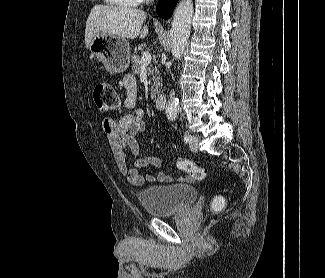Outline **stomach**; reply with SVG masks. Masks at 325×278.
<instances>
[{
    "label": "stomach",
    "mask_w": 325,
    "mask_h": 278,
    "mask_svg": "<svg viewBox=\"0 0 325 278\" xmlns=\"http://www.w3.org/2000/svg\"><path fill=\"white\" fill-rule=\"evenodd\" d=\"M89 50L112 73H121L129 66L130 44L127 39L109 34H97Z\"/></svg>",
    "instance_id": "obj_1"
}]
</instances>
